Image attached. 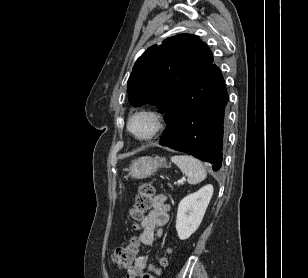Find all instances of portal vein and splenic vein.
Listing matches in <instances>:
<instances>
[{
	"instance_id": "18ae733b",
	"label": "portal vein and splenic vein",
	"mask_w": 308,
	"mask_h": 278,
	"mask_svg": "<svg viewBox=\"0 0 308 278\" xmlns=\"http://www.w3.org/2000/svg\"><path fill=\"white\" fill-rule=\"evenodd\" d=\"M183 180H184V179H180V180H178L177 182H175V184H180V183L183 182Z\"/></svg>"
}]
</instances>
